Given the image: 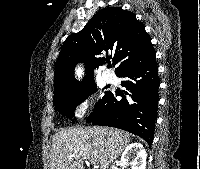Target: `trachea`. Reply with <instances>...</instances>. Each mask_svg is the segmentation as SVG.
I'll list each match as a JSON object with an SVG mask.
<instances>
[{"label":"trachea","instance_id":"1","mask_svg":"<svg viewBox=\"0 0 200 169\" xmlns=\"http://www.w3.org/2000/svg\"><path fill=\"white\" fill-rule=\"evenodd\" d=\"M108 66H109V67H112V65H111V64H109Z\"/></svg>","mask_w":200,"mask_h":169}]
</instances>
